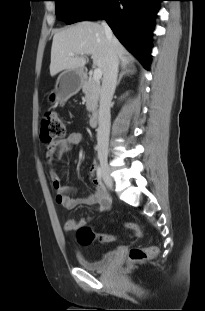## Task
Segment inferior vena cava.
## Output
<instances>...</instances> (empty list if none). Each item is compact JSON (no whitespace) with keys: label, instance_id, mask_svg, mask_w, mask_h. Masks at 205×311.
<instances>
[{"label":"inferior vena cava","instance_id":"obj_1","mask_svg":"<svg viewBox=\"0 0 205 311\" xmlns=\"http://www.w3.org/2000/svg\"><path fill=\"white\" fill-rule=\"evenodd\" d=\"M107 39L110 42L108 50L107 68L103 75L100 107H99V126L97 129V148L103 152L108 149L109 134H110V106L113 94L117 84L119 59L113 47V33L106 22L102 23Z\"/></svg>","mask_w":205,"mask_h":311}]
</instances>
